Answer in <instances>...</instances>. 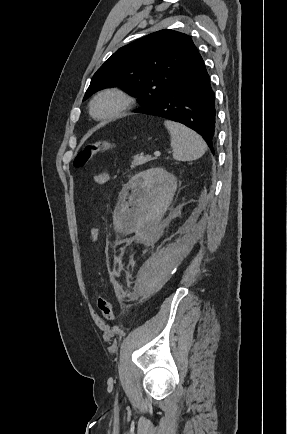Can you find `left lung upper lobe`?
<instances>
[{
	"instance_id": "1",
	"label": "left lung upper lobe",
	"mask_w": 287,
	"mask_h": 434,
	"mask_svg": "<svg viewBox=\"0 0 287 434\" xmlns=\"http://www.w3.org/2000/svg\"><path fill=\"white\" fill-rule=\"evenodd\" d=\"M200 59L188 35L168 29L151 33L119 48L94 74L83 100L120 86L139 98L141 108L154 105Z\"/></svg>"
}]
</instances>
